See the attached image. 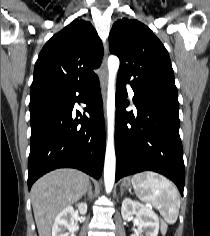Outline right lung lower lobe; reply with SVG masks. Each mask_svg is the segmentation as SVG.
Here are the masks:
<instances>
[{
  "label": "right lung lower lobe",
  "mask_w": 210,
  "mask_h": 236,
  "mask_svg": "<svg viewBox=\"0 0 210 236\" xmlns=\"http://www.w3.org/2000/svg\"><path fill=\"white\" fill-rule=\"evenodd\" d=\"M79 92V96H76ZM87 115L72 110L79 100ZM31 144L28 160V188L43 174L61 167L77 168L99 179L105 155V128L99 79L66 91L63 97L30 109Z\"/></svg>",
  "instance_id": "obj_1"
}]
</instances>
